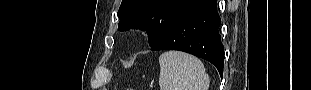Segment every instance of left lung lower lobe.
<instances>
[{
	"label": "left lung lower lobe",
	"instance_id": "left-lung-lower-lobe-1",
	"mask_svg": "<svg viewBox=\"0 0 311 90\" xmlns=\"http://www.w3.org/2000/svg\"><path fill=\"white\" fill-rule=\"evenodd\" d=\"M217 0H201L182 14L151 50H180L211 62L223 74L224 47L218 33Z\"/></svg>",
	"mask_w": 311,
	"mask_h": 90
}]
</instances>
